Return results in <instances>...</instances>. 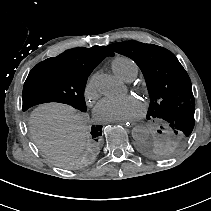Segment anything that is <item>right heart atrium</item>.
I'll return each mask as SVG.
<instances>
[{"label": "right heart atrium", "mask_w": 211, "mask_h": 211, "mask_svg": "<svg viewBox=\"0 0 211 211\" xmlns=\"http://www.w3.org/2000/svg\"><path fill=\"white\" fill-rule=\"evenodd\" d=\"M84 97L87 102H94L99 96V88L97 85V76L92 74L84 84L83 88Z\"/></svg>", "instance_id": "1"}]
</instances>
